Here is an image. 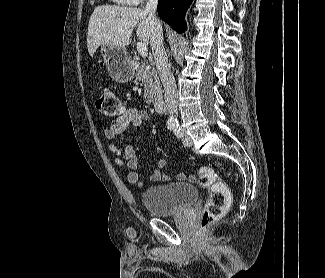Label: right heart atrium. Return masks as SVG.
Instances as JSON below:
<instances>
[{
    "label": "right heart atrium",
    "instance_id": "obj_1",
    "mask_svg": "<svg viewBox=\"0 0 325 278\" xmlns=\"http://www.w3.org/2000/svg\"><path fill=\"white\" fill-rule=\"evenodd\" d=\"M130 4H141L143 3L145 0H129Z\"/></svg>",
    "mask_w": 325,
    "mask_h": 278
}]
</instances>
